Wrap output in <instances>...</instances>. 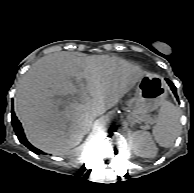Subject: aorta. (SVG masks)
I'll list each match as a JSON object with an SVG mask.
<instances>
[{"mask_svg":"<svg viewBox=\"0 0 194 193\" xmlns=\"http://www.w3.org/2000/svg\"><path fill=\"white\" fill-rule=\"evenodd\" d=\"M106 120L108 123H118L120 122V115L115 111L109 112L106 116Z\"/></svg>","mask_w":194,"mask_h":193,"instance_id":"1","label":"aorta"}]
</instances>
